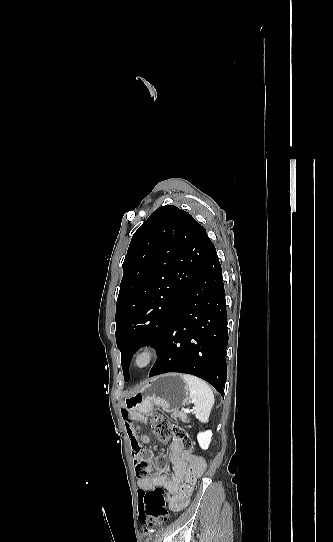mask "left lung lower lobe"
I'll use <instances>...</instances> for the list:
<instances>
[{
    "mask_svg": "<svg viewBox=\"0 0 333 542\" xmlns=\"http://www.w3.org/2000/svg\"><path fill=\"white\" fill-rule=\"evenodd\" d=\"M227 344L225 291L213 245L166 328L149 377L167 372L192 374L223 395Z\"/></svg>",
    "mask_w": 333,
    "mask_h": 542,
    "instance_id": "0a47b994",
    "label": "left lung lower lobe"
}]
</instances>
